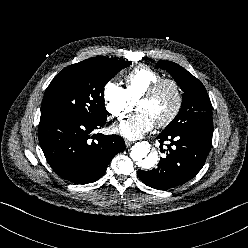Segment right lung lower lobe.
<instances>
[{
	"mask_svg": "<svg viewBox=\"0 0 248 248\" xmlns=\"http://www.w3.org/2000/svg\"><path fill=\"white\" fill-rule=\"evenodd\" d=\"M105 123L106 120L41 116L39 142L55 173L76 184L91 183L101 178L112 158L125 149L124 140L118 135L91 136Z\"/></svg>",
	"mask_w": 248,
	"mask_h": 248,
	"instance_id": "98d812e1",
	"label": "right lung lower lobe"
}]
</instances>
